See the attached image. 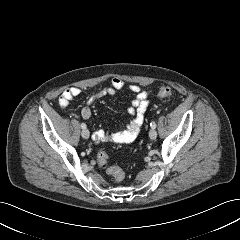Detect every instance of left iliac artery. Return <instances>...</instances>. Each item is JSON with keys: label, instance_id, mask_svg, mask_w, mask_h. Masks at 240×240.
I'll return each instance as SVG.
<instances>
[{"label": "left iliac artery", "instance_id": "obj_1", "mask_svg": "<svg viewBox=\"0 0 240 240\" xmlns=\"http://www.w3.org/2000/svg\"><path fill=\"white\" fill-rule=\"evenodd\" d=\"M150 126H151L152 129H155L156 128V123L155 122H151Z\"/></svg>", "mask_w": 240, "mask_h": 240}]
</instances>
